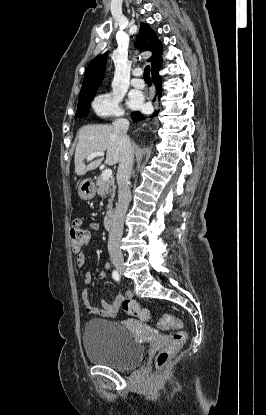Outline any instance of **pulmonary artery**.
<instances>
[{"instance_id": "obj_1", "label": "pulmonary artery", "mask_w": 266, "mask_h": 415, "mask_svg": "<svg viewBox=\"0 0 266 415\" xmlns=\"http://www.w3.org/2000/svg\"><path fill=\"white\" fill-rule=\"evenodd\" d=\"M133 75L134 78L131 80V84L132 86L142 89L145 86V83L142 79L139 78V76L141 75V70L140 69H135L133 71Z\"/></svg>"}]
</instances>
